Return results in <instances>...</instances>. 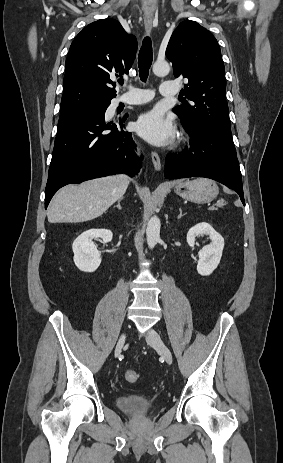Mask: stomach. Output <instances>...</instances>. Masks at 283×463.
Segmentation results:
<instances>
[{
    "instance_id": "stomach-1",
    "label": "stomach",
    "mask_w": 283,
    "mask_h": 463,
    "mask_svg": "<svg viewBox=\"0 0 283 463\" xmlns=\"http://www.w3.org/2000/svg\"><path fill=\"white\" fill-rule=\"evenodd\" d=\"M174 188L177 195L195 203L210 202L218 194L217 184L206 178L179 181Z\"/></svg>"
}]
</instances>
